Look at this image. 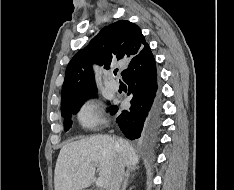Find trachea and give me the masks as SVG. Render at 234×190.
Masks as SVG:
<instances>
[{"label": "trachea", "instance_id": "3493384b", "mask_svg": "<svg viewBox=\"0 0 234 190\" xmlns=\"http://www.w3.org/2000/svg\"><path fill=\"white\" fill-rule=\"evenodd\" d=\"M118 69L114 70V75H117Z\"/></svg>", "mask_w": 234, "mask_h": 190}]
</instances>
